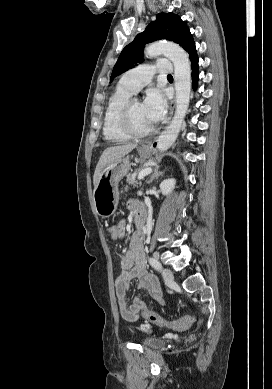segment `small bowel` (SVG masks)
Here are the masks:
<instances>
[{
  "instance_id": "c3829d8e",
  "label": "small bowel",
  "mask_w": 272,
  "mask_h": 389,
  "mask_svg": "<svg viewBox=\"0 0 272 389\" xmlns=\"http://www.w3.org/2000/svg\"><path fill=\"white\" fill-rule=\"evenodd\" d=\"M129 207L135 215L141 213V205L137 201H130ZM119 237L121 239L125 232V222L122 220L117 225ZM121 273L115 281V291L118 309L121 316L128 322H135L139 318L142 310L146 309V304L135 296L132 304H128L126 294L133 278L138 280V290H145L151 297L163 304L162 290L157 278L148 272L145 263L144 251L142 247V235L135 233L131 239V249L119 259ZM143 329L147 326L143 325Z\"/></svg>"
}]
</instances>
